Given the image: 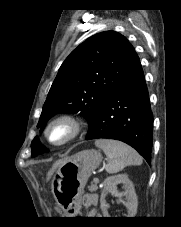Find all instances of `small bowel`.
Returning <instances> with one entry per match:
<instances>
[{"label":"small bowel","mask_w":181,"mask_h":227,"mask_svg":"<svg viewBox=\"0 0 181 227\" xmlns=\"http://www.w3.org/2000/svg\"><path fill=\"white\" fill-rule=\"evenodd\" d=\"M99 202V197L95 193H88L85 194L83 197V204L87 207H91L92 209L89 212L90 217H95L97 216V211L95 207L98 205Z\"/></svg>","instance_id":"obj_1"}]
</instances>
